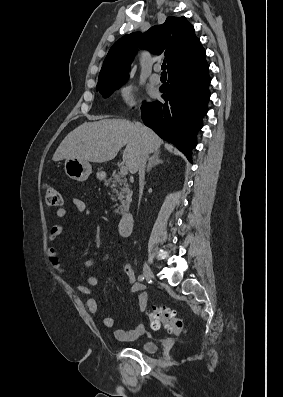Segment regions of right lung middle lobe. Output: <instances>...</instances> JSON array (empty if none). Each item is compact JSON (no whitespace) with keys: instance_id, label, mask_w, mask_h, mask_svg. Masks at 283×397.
<instances>
[{"instance_id":"right-lung-middle-lobe-1","label":"right lung middle lobe","mask_w":283,"mask_h":397,"mask_svg":"<svg viewBox=\"0 0 283 397\" xmlns=\"http://www.w3.org/2000/svg\"><path fill=\"white\" fill-rule=\"evenodd\" d=\"M125 80H126V78L112 79V80H109V81H98L96 89L104 97H108L115 89L119 88V86Z\"/></svg>"}]
</instances>
